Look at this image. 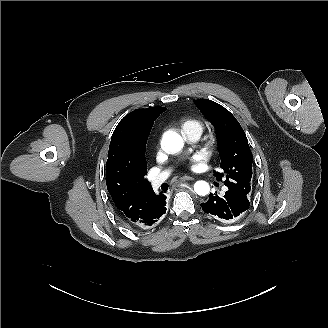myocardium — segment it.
I'll list each match as a JSON object with an SVG mask.
<instances>
[{
  "label": "myocardium",
  "mask_w": 328,
  "mask_h": 328,
  "mask_svg": "<svg viewBox=\"0 0 328 328\" xmlns=\"http://www.w3.org/2000/svg\"><path fill=\"white\" fill-rule=\"evenodd\" d=\"M219 147V138L216 134L209 135L208 137L196 142L189 150H196V155L208 161L215 158Z\"/></svg>",
  "instance_id": "myocardium-1"
}]
</instances>
